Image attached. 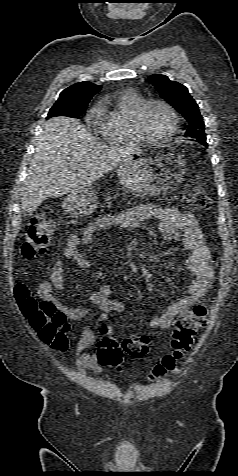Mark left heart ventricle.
I'll return each instance as SVG.
<instances>
[{
    "mask_svg": "<svg viewBox=\"0 0 238 476\" xmlns=\"http://www.w3.org/2000/svg\"><path fill=\"white\" fill-rule=\"evenodd\" d=\"M143 123L149 135L159 138L169 131L172 120L163 106L154 104L147 108Z\"/></svg>",
    "mask_w": 238,
    "mask_h": 476,
    "instance_id": "b2bd125f",
    "label": "left heart ventricle"
}]
</instances>
